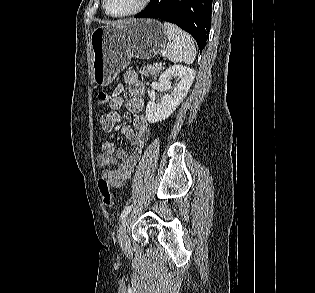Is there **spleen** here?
<instances>
[{"label":"spleen","instance_id":"3e777b00","mask_svg":"<svg viewBox=\"0 0 315 293\" xmlns=\"http://www.w3.org/2000/svg\"><path fill=\"white\" fill-rule=\"evenodd\" d=\"M164 29L169 40L166 57L174 63L192 64L196 57V48L191 36L169 22H164Z\"/></svg>","mask_w":315,"mask_h":293}]
</instances>
